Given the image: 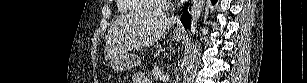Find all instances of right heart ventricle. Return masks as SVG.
<instances>
[{
	"label": "right heart ventricle",
	"mask_w": 307,
	"mask_h": 83,
	"mask_svg": "<svg viewBox=\"0 0 307 83\" xmlns=\"http://www.w3.org/2000/svg\"><path fill=\"white\" fill-rule=\"evenodd\" d=\"M118 8L123 14L135 15L151 11L153 8V0H119Z\"/></svg>",
	"instance_id": "obj_1"
}]
</instances>
